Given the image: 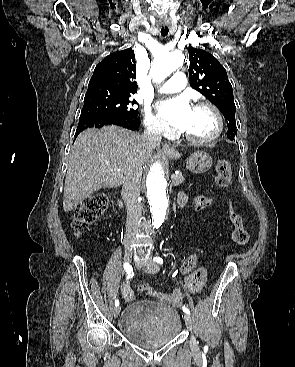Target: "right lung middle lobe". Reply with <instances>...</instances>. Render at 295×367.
<instances>
[{"mask_svg": "<svg viewBox=\"0 0 295 367\" xmlns=\"http://www.w3.org/2000/svg\"><path fill=\"white\" fill-rule=\"evenodd\" d=\"M130 94H120L108 90H87L80 119L110 116H138V109L130 100ZM139 106V105H138Z\"/></svg>", "mask_w": 295, "mask_h": 367, "instance_id": "1", "label": "right lung middle lobe"}]
</instances>
